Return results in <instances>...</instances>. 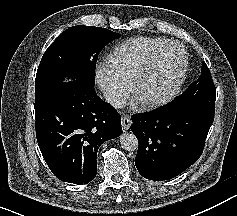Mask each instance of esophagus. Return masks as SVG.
I'll list each match as a JSON object with an SVG mask.
<instances>
[{
  "label": "esophagus",
  "mask_w": 237,
  "mask_h": 216,
  "mask_svg": "<svg viewBox=\"0 0 237 216\" xmlns=\"http://www.w3.org/2000/svg\"><path fill=\"white\" fill-rule=\"evenodd\" d=\"M131 119L128 115H123L122 117V130L125 132L130 129L131 126Z\"/></svg>",
  "instance_id": "esophagus-1"
}]
</instances>
